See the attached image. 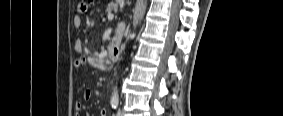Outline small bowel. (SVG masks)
I'll use <instances>...</instances> for the list:
<instances>
[{
    "label": "small bowel",
    "instance_id": "small-bowel-1",
    "mask_svg": "<svg viewBox=\"0 0 283 116\" xmlns=\"http://www.w3.org/2000/svg\"><path fill=\"white\" fill-rule=\"evenodd\" d=\"M81 12H83V9H80ZM73 25L75 28L79 29L83 25L82 18L79 15H75L73 17ZM74 49L77 53L83 52L82 44L79 40L75 41L74 43ZM97 63V57L96 56H81L75 61V67L81 68L86 65H96ZM83 97L85 100H91L94 97V93L91 90H86L83 94ZM77 112H80L82 110V104L78 103L75 107ZM108 110L106 108H102L100 110V116H107Z\"/></svg>",
    "mask_w": 283,
    "mask_h": 116
}]
</instances>
